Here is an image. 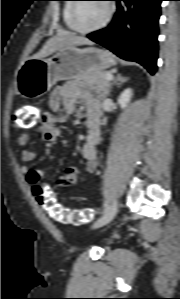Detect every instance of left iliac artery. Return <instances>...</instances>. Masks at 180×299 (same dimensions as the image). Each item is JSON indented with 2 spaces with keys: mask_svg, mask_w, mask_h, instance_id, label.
Segmentation results:
<instances>
[{
  "mask_svg": "<svg viewBox=\"0 0 180 299\" xmlns=\"http://www.w3.org/2000/svg\"><path fill=\"white\" fill-rule=\"evenodd\" d=\"M108 208H109V204L106 201L105 204H104V211H103V213H105L108 210Z\"/></svg>",
  "mask_w": 180,
  "mask_h": 299,
  "instance_id": "left-iliac-artery-1",
  "label": "left iliac artery"
}]
</instances>
